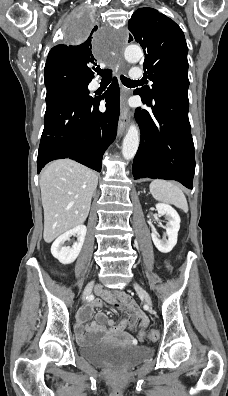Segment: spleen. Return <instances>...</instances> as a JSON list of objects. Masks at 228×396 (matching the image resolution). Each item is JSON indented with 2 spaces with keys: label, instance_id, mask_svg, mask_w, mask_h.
<instances>
[{
  "label": "spleen",
  "instance_id": "spleen-1",
  "mask_svg": "<svg viewBox=\"0 0 228 396\" xmlns=\"http://www.w3.org/2000/svg\"><path fill=\"white\" fill-rule=\"evenodd\" d=\"M149 188L156 200L172 204L184 212H188L186 197L182 190L173 182L157 179L151 182Z\"/></svg>",
  "mask_w": 228,
  "mask_h": 396
}]
</instances>
